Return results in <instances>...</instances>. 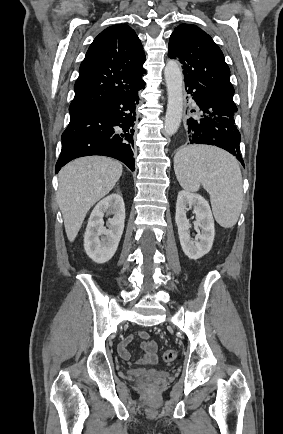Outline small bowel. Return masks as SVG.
I'll list each match as a JSON object with an SVG mask.
<instances>
[{
    "label": "small bowel",
    "mask_w": 283,
    "mask_h": 434,
    "mask_svg": "<svg viewBox=\"0 0 283 434\" xmlns=\"http://www.w3.org/2000/svg\"><path fill=\"white\" fill-rule=\"evenodd\" d=\"M135 337L142 340L140 347L143 351V355L137 358L135 361L141 365L154 364L157 361V344L154 340H150V335L147 331H137L134 334L124 338L118 345V352L120 356L125 360L132 359V355L128 350V346Z\"/></svg>",
    "instance_id": "small-bowel-1"
}]
</instances>
